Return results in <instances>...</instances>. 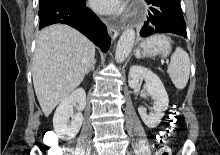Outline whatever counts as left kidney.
I'll use <instances>...</instances> for the list:
<instances>
[{"label":"left kidney","instance_id":"1","mask_svg":"<svg viewBox=\"0 0 220 155\" xmlns=\"http://www.w3.org/2000/svg\"><path fill=\"white\" fill-rule=\"evenodd\" d=\"M145 81V89L154 100L153 113L147 114L143 107L138 108L139 115L149 128H156L167 110L169 99L160 78L148 68L132 66L129 71L128 84L132 89L140 87L139 81Z\"/></svg>","mask_w":220,"mask_h":155}]
</instances>
